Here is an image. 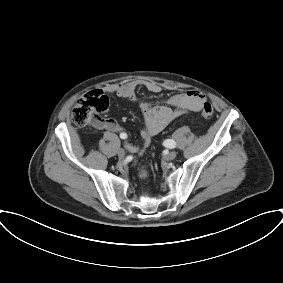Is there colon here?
Masks as SVG:
<instances>
[{"label":"colon","instance_id":"1","mask_svg":"<svg viewBox=\"0 0 283 283\" xmlns=\"http://www.w3.org/2000/svg\"><path fill=\"white\" fill-rule=\"evenodd\" d=\"M109 109V100L102 92L94 90L80 96L75 102L71 118L77 126H86L88 124L101 125L104 120L102 117ZM213 107L209 102H204L201 106V115L204 118H210L213 115ZM141 175L146 176V171L142 170Z\"/></svg>","mask_w":283,"mask_h":283}]
</instances>
